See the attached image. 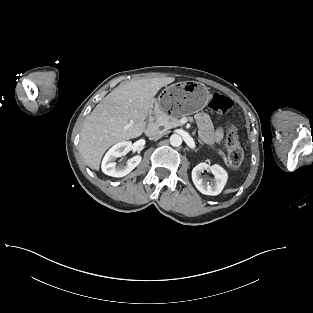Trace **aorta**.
<instances>
[{
    "label": "aorta",
    "instance_id": "obj_1",
    "mask_svg": "<svg viewBox=\"0 0 313 313\" xmlns=\"http://www.w3.org/2000/svg\"><path fill=\"white\" fill-rule=\"evenodd\" d=\"M170 144L174 147H178L182 144V137L179 134H172L170 136Z\"/></svg>",
    "mask_w": 313,
    "mask_h": 313
}]
</instances>
